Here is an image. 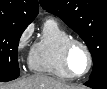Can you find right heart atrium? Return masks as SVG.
Here are the masks:
<instances>
[{"mask_svg": "<svg viewBox=\"0 0 107 89\" xmlns=\"http://www.w3.org/2000/svg\"><path fill=\"white\" fill-rule=\"evenodd\" d=\"M32 35V27H28L20 36L19 41H18V52L21 54L26 46L28 45V42L30 40V37Z\"/></svg>", "mask_w": 107, "mask_h": 89, "instance_id": "d8ad5b80", "label": "right heart atrium"}]
</instances>
